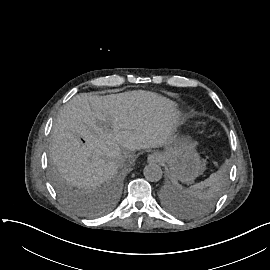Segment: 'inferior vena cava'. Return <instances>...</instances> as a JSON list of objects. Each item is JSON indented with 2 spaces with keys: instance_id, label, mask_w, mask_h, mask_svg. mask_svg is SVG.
I'll return each instance as SVG.
<instances>
[{
  "instance_id": "602c4592",
  "label": "inferior vena cava",
  "mask_w": 270,
  "mask_h": 270,
  "mask_svg": "<svg viewBox=\"0 0 270 270\" xmlns=\"http://www.w3.org/2000/svg\"><path fill=\"white\" fill-rule=\"evenodd\" d=\"M124 156V155H123ZM126 156V159L128 158V155H125ZM126 161V160H125Z\"/></svg>"
}]
</instances>
